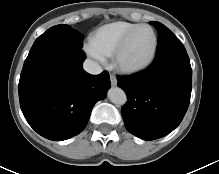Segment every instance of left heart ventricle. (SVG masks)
I'll list each match as a JSON object with an SVG mask.
<instances>
[{
  "mask_svg": "<svg viewBox=\"0 0 219 174\" xmlns=\"http://www.w3.org/2000/svg\"><path fill=\"white\" fill-rule=\"evenodd\" d=\"M153 33L148 28L139 29L130 39L122 56V61L128 65H135L145 61L153 47Z\"/></svg>",
  "mask_w": 219,
  "mask_h": 174,
  "instance_id": "1",
  "label": "left heart ventricle"
}]
</instances>
